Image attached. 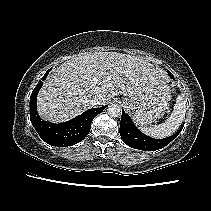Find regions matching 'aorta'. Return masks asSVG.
Segmentation results:
<instances>
[{
  "label": "aorta",
  "mask_w": 211,
  "mask_h": 211,
  "mask_svg": "<svg viewBox=\"0 0 211 211\" xmlns=\"http://www.w3.org/2000/svg\"><path fill=\"white\" fill-rule=\"evenodd\" d=\"M108 114L112 117L121 116L122 109L118 104H111L107 108Z\"/></svg>",
  "instance_id": "762f6f07"
}]
</instances>
